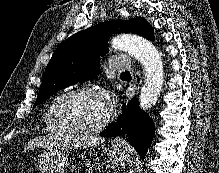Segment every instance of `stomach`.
I'll list each match as a JSON object with an SVG mask.
<instances>
[{
  "label": "stomach",
  "instance_id": "stomach-1",
  "mask_svg": "<svg viewBox=\"0 0 219 173\" xmlns=\"http://www.w3.org/2000/svg\"><path fill=\"white\" fill-rule=\"evenodd\" d=\"M110 161L120 167L133 163L130 149L119 143H114L108 149ZM67 152L62 147L47 146L38 157L40 173H65L68 165Z\"/></svg>",
  "mask_w": 219,
  "mask_h": 173
}]
</instances>
